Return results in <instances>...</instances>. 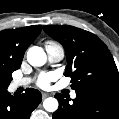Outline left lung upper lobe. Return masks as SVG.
I'll return each mask as SVG.
<instances>
[{"label": "left lung upper lobe", "instance_id": "obj_1", "mask_svg": "<svg viewBox=\"0 0 119 119\" xmlns=\"http://www.w3.org/2000/svg\"><path fill=\"white\" fill-rule=\"evenodd\" d=\"M44 31L60 42L66 52L65 76L76 91L119 94V73L104 42L96 35L68 25L44 26Z\"/></svg>", "mask_w": 119, "mask_h": 119}]
</instances>
